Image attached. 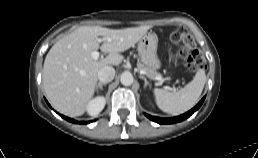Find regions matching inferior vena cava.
<instances>
[{"instance_id": "obj_1", "label": "inferior vena cava", "mask_w": 258, "mask_h": 158, "mask_svg": "<svg viewBox=\"0 0 258 158\" xmlns=\"http://www.w3.org/2000/svg\"><path fill=\"white\" fill-rule=\"evenodd\" d=\"M98 79L101 83L111 82L115 77V70L110 66L101 68L98 71Z\"/></svg>"}]
</instances>
